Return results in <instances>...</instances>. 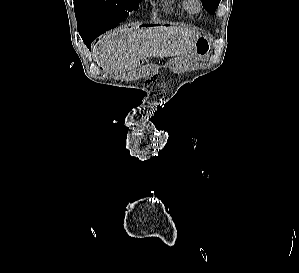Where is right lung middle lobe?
<instances>
[{
  "label": "right lung middle lobe",
  "mask_w": 299,
  "mask_h": 273,
  "mask_svg": "<svg viewBox=\"0 0 299 273\" xmlns=\"http://www.w3.org/2000/svg\"><path fill=\"white\" fill-rule=\"evenodd\" d=\"M138 7V0H74L78 31L112 29Z\"/></svg>",
  "instance_id": "dd1d6c3e"
}]
</instances>
